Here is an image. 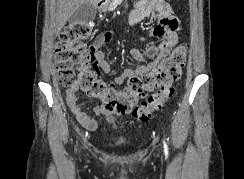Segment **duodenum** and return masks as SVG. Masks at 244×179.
Instances as JSON below:
<instances>
[{
    "label": "duodenum",
    "instance_id": "410a0bca",
    "mask_svg": "<svg viewBox=\"0 0 244 179\" xmlns=\"http://www.w3.org/2000/svg\"><path fill=\"white\" fill-rule=\"evenodd\" d=\"M103 6H105V0H100L97 2V5H96V10H103Z\"/></svg>",
    "mask_w": 244,
    "mask_h": 179
}]
</instances>
